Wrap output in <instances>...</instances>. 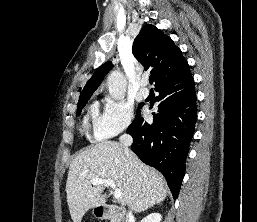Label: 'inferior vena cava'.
Here are the masks:
<instances>
[{
	"label": "inferior vena cava",
	"instance_id": "602c4592",
	"mask_svg": "<svg viewBox=\"0 0 257 222\" xmlns=\"http://www.w3.org/2000/svg\"><path fill=\"white\" fill-rule=\"evenodd\" d=\"M119 141H120V144L123 146L126 157L129 159L130 155H131L129 147L131 146V144L133 142L132 137L129 134L125 133L120 136Z\"/></svg>",
	"mask_w": 257,
	"mask_h": 222
}]
</instances>
